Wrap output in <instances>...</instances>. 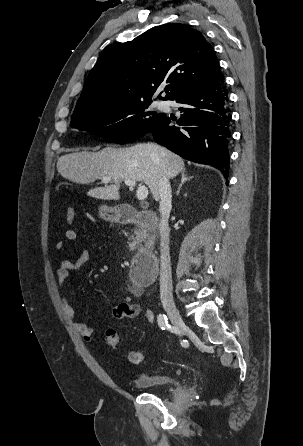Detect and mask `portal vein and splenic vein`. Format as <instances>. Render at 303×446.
<instances>
[{"mask_svg": "<svg viewBox=\"0 0 303 446\" xmlns=\"http://www.w3.org/2000/svg\"><path fill=\"white\" fill-rule=\"evenodd\" d=\"M101 179L104 182H108L111 180V178L108 176L102 177ZM124 183L130 187H133L136 185V181H133V180H124ZM136 195H137L138 200H140V201L145 200L148 196V188L145 185L139 184Z\"/></svg>", "mask_w": 303, "mask_h": 446, "instance_id": "portal-vein-and-splenic-vein-1", "label": "portal vein and splenic vein"}]
</instances>
